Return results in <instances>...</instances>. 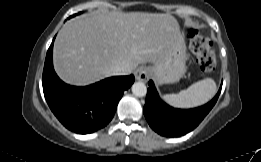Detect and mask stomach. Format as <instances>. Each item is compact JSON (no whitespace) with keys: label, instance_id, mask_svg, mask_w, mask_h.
Masks as SVG:
<instances>
[{"label":"stomach","instance_id":"obj_1","mask_svg":"<svg viewBox=\"0 0 261 162\" xmlns=\"http://www.w3.org/2000/svg\"><path fill=\"white\" fill-rule=\"evenodd\" d=\"M186 44L180 33L164 58L148 67L150 76L159 85L178 82L186 72Z\"/></svg>","mask_w":261,"mask_h":162}]
</instances>
